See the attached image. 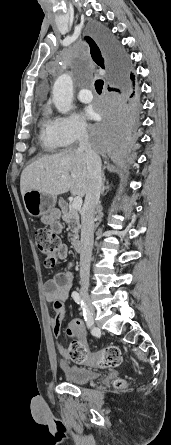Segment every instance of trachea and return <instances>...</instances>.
Returning <instances> with one entry per match:
<instances>
[{"instance_id": "1", "label": "trachea", "mask_w": 171, "mask_h": 445, "mask_svg": "<svg viewBox=\"0 0 171 445\" xmlns=\"http://www.w3.org/2000/svg\"><path fill=\"white\" fill-rule=\"evenodd\" d=\"M103 85H104L103 80H100V79L96 80V82H95V89H96L98 94L102 93Z\"/></svg>"}]
</instances>
